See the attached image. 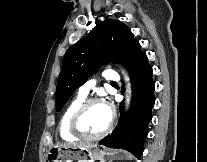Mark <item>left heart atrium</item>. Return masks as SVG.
I'll list each match as a JSON object with an SVG mask.
<instances>
[{
	"label": "left heart atrium",
	"mask_w": 207,
	"mask_h": 162,
	"mask_svg": "<svg viewBox=\"0 0 207 162\" xmlns=\"http://www.w3.org/2000/svg\"><path fill=\"white\" fill-rule=\"evenodd\" d=\"M104 105L106 106V108L110 111V105L108 103H104Z\"/></svg>",
	"instance_id": "1"
}]
</instances>
